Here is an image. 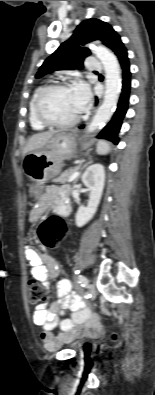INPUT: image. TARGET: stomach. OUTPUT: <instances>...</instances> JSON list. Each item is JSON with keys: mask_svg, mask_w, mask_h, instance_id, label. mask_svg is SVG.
<instances>
[{"mask_svg": "<svg viewBox=\"0 0 155 395\" xmlns=\"http://www.w3.org/2000/svg\"><path fill=\"white\" fill-rule=\"evenodd\" d=\"M76 139L71 133L55 134L41 149L28 153L23 160L25 175L31 180L35 193L61 170L62 161L70 158Z\"/></svg>", "mask_w": 155, "mask_h": 395, "instance_id": "1", "label": "stomach"}]
</instances>
